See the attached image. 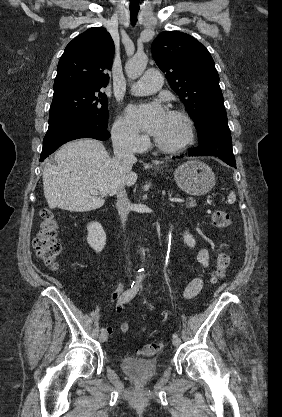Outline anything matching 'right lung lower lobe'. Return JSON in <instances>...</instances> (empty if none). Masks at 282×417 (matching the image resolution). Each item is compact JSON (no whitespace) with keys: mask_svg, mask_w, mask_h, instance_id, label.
<instances>
[{"mask_svg":"<svg viewBox=\"0 0 282 417\" xmlns=\"http://www.w3.org/2000/svg\"><path fill=\"white\" fill-rule=\"evenodd\" d=\"M109 137L107 124H100L86 116H70L54 121L49 123L44 137L40 161L68 141L79 138L107 140Z\"/></svg>","mask_w":282,"mask_h":417,"instance_id":"1","label":"right lung lower lobe"}]
</instances>
